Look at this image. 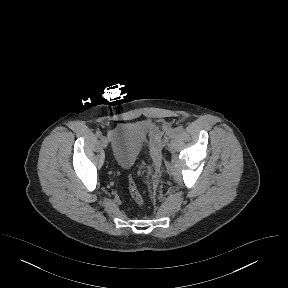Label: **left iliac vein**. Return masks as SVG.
<instances>
[{
    "label": "left iliac vein",
    "mask_w": 288,
    "mask_h": 288,
    "mask_svg": "<svg viewBox=\"0 0 288 288\" xmlns=\"http://www.w3.org/2000/svg\"><path fill=\"white\" fill-rule=\"evenodd\" d=\"M173 132H170L167 134L166 139L170 138L172 136Z\"/></svg>",
    "instance_id": "1"
}]
</instances>
